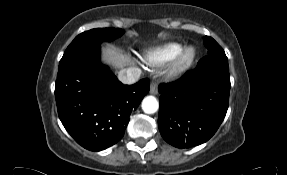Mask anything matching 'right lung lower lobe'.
Wrapping results in <instances>:
<instances>
[{
  "label": "right lung lower lobe",
  "instance_id": "1",
  "mask_svg": "<svg viewBox=\"0 0 287 175\" xmlns=\"http://www.w3.org/2000/svg\"><path fill=\"white\" fill-rule=\"evenodd\" d=\"M100 45L61 59L55 84L59 118L85 149L101 151L124 135L129 116L149 91V80L122 84L99 61Z\"/></svg>",
  "mask_w": 287,
  "mask_h": 175
}]
</instances>
